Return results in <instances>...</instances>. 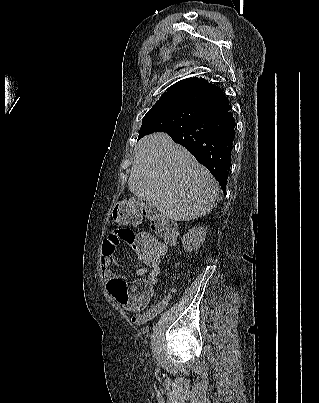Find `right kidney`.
I'll return each instance as SVG.
<instances>
[{
    "label": "right kidney",
    "instance_id": "obj_1",
    "mask_svg": "<svg viewBox=\"0 0 319 403\" xmlns=\"http://www.w3.org/2000/svg\"><path fill=\"white\" fill-rule=\"evenodd\" d=\"M206 234L207 228L204 227H194L190 229L181 239L183 248L188 252L198 250L201 245H203Z\"/></svg>",
    "mask_w": 319,
    "mask_h": 403
}]
</instances>
